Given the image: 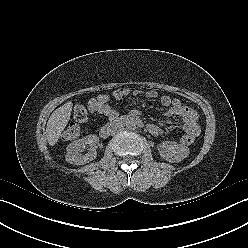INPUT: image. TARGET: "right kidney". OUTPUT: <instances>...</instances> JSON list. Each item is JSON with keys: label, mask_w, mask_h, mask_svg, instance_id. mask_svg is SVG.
Wrapping results in <instances>:
<instances>
[{"label": "right kidney", "mask_w": 248, "mask_h": 248, "mask_svg": "<svg viewBox=\"0 0 248 248\" xmlns=\"http://www.w3.org/2000/svg\"><path fill=\"white\" fill-rule=\"evenodd\" d=\"M99 143V138L96 135H88L82 139L76 140L69 144L67 147L66 161L74 165H83L92 161L96 155L97 144ZM85 145H89V151L83 154L82 151Z\"/></svg>", "instance_id": "right-kidney-1"}]
</instances>
